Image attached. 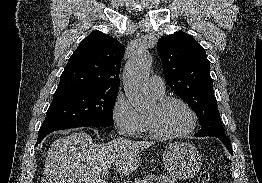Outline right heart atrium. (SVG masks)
<instances>
[{"instance_id": "1", "label": "right heart atrium", "mask_w": 262, "mask_h": 183, "mask_svg": "<svg viewBox=\"0 0 262 183\" xmlns=\"http://www.w3.org/2000/svg\"><path fill=\"white\" fill-rule=\"evenodd\" d=\"M112 119L116 130L124 136H136L141 132L143 116L124 96L116 98L112 107Z\"/></svg>"}]
</instances>
